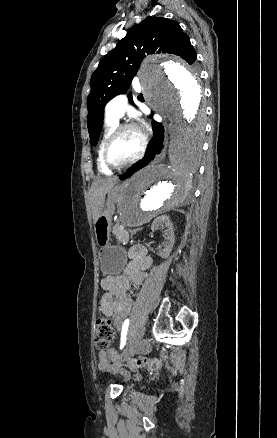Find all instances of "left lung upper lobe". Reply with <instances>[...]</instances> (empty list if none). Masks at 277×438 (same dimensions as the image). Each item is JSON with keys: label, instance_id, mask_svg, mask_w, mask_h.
<instances>
[{"label": "left lung upper lobe", "instance_id": "obj_1", "mask_svg": "<svg viewBox=\"0 0 277 438\" xmlns=\"http://www.w3.org/2000/svg\"><path fill=\"white\" fill-rule=\"evenodd\" d=\"M175 54L193 64L197 54L180 25L162 17H148L133 26L114 50L101 60L91 76L87 98L88 131L96 145L103 124V108L114 96L125 93L136 75L145 53ZM131 103V96L129 97Z\"/></svg>", "mask_w": 277, "mask_h": 438}]
</instances>
